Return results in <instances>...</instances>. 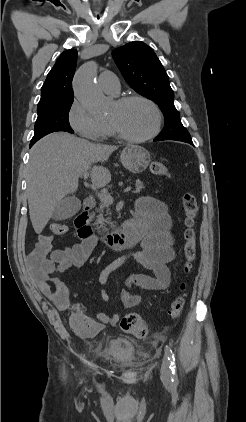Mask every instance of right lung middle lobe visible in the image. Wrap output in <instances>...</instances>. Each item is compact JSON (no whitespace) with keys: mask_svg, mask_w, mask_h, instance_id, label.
<instances>
[{"mask_svg":"<svg viewBox=\"0 0 246 422\" xmlns=\"http://www.w3.org/2000/svg\"><path fill=\"white\" fill-rule=\"evenodd\" d=\"M73 100V98L63 99L37 108L38 117L35 123V133L30 144H35L39 139L52 132L74 133L68 120Z\"/></svg>","mask_w":246,"mask_h":422,"instance_id":"1","label":"right lung middle lobe"}]
</instances>
